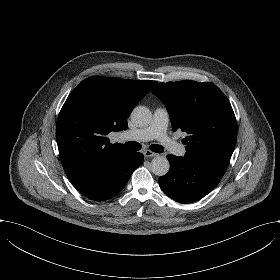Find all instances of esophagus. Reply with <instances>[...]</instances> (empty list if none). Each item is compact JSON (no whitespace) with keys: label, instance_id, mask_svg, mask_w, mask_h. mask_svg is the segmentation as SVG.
<instances>
[{"label":"esophagus","instance_id":"1","mask_svg":"<svg viewBox=\"0 0 280 280\" xmlns=\"http://www.w3.org/2000/svg\"><path fill=\"white\" fill-rule=\"evenodd\" d=\"M143 154H144V156H145L146 158L157 156V154H156L155 152H152V151H150V150H145V151L143 152Z\"/></svg>","mask_w":280,"mask_h":280}]
</instances>
